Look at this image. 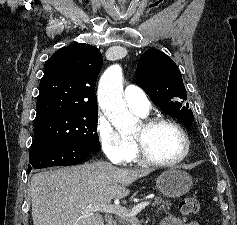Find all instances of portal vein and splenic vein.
<instances>
[{
  "label": "portal vein and splenic vein",
  "mask_w": 237,
  "mask_h": 225,
  "mask_svg": "<svg viewBox=\"0 0 237 225\" xmlns=\"http://www.w3.org/2000/svg\"><path fill=\"white\" fill-rule=\"evenodd\" d=\"M150 203L148 201L141 202L137 205H135L131 210L122 207V206H116L112 204H101V205H96L90 210H96V211H101V212H107L111 214H117L121 217H134L137 213L141 212L146 206H148Z\"/></svg>",
  "instance_id": "portal-vein-and-splenic-vein-1"
}]
</instances>
